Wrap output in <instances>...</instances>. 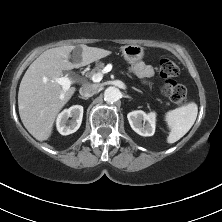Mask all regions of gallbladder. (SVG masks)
<instances>
[{"label":"gallbladder","instance_id":"gallbladder-1","mask_svg":"<svg viewBox=\"0 0 222 222\" xmlns=\"http://www.w3.org/2000/svg\"><path fill=\"white\" fill-rule=\"evenodd\" d=\"M80 51H81V49H80V47H78V46L74 49V52L77 53V54H78Z\"/></svg>","mask_w":222,"mask_h":222}]
</instances>
